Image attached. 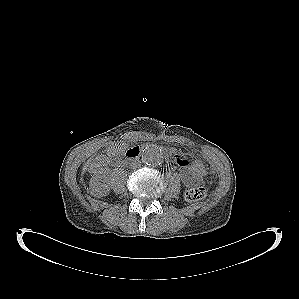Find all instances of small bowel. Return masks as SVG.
Returning a JSON list of instances; mask_svg holds the SVG:
<instances>
[{"label": "small bowel", "instance_id": "c3829d8e", "mask_svg": "<svg viewBox=\"0 0 299 299\" xmlns=\"http://www.w3.org/2000/svg\"><path fill=\"white\" fill-rule=\"evenodd\" d=\"M119 151H120L119 147H111L108 149L107 155L109 157H112V156L116 155ZM175 161H176V164L179 166L180 176L182 178L183 183L186 186H192V185L196 184V180L194 179L192 172H191L189 161L180 156H177L175 158Z\"/></svg>", "mask_w": 299, "mask_h": 299}]
</instances>
